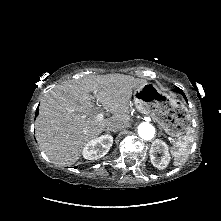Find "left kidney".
I'll use <instances>...</instances> for the list:
<instances>
[{
  "mask_svg": "<svg viewBox=\"0 0 221 221\" xmlns=\"http://www.w3.org/2000/svg\"><path fill=\"white\" fill-rule=\"evenodd\" d=\"M157 153H161V157L158 158ZM150 159L154 167L160 170L165 169L170 161L168 145L162 140H155L150 148Z\"/></svg>",
  "mask_w": 221,
  "mask_h": 221,
  "instance_id": "obj_1",
  "label": "left kidney"
}]
</instances>
